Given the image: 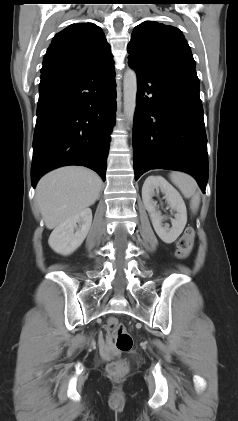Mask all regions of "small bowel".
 <instances>
[{
    "label": "small bowel",
    "instance_id": "c3829d8e",
    "mask_svg": "<svg viewBox=\"0 0 238 421\" xmlns=\"http://www.w3.org/2000/svg\"><path fill=\"white\" fill-rule=\"evenodd\" d=\"M99 345H100L101 351L105 355H108L113 351L111 342L107 337L101 336L99 339Z\"/></svg>",
    "mask_w": 238,
    "mask_h": 421
}]
</instances>
